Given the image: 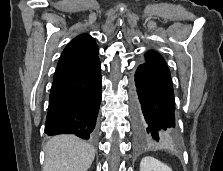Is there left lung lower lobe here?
Listing matches in <instances>:
<instances>
[{
    "label": "left lung lower lobe",
    "instance_id": "0a47b994",
    "mask_svg": "<svg viewBox=\"0 0 223 171\" xmlns=\"http://www.w3.org/2000/svg\"><path fill=\"white\" fill-rule=\"evenodd\" d=\"M133 133L138 146L178 137L175 100L169 69L160 54L145 53L132 79Z\"/></svg>",
    "mask_w": 223,
    "mask_h": 171
}]
</instances>
